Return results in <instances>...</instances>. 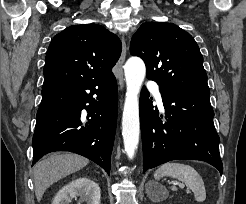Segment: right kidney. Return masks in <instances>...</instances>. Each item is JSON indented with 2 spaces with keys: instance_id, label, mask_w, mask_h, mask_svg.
Instances as JSON below:
<instances>
[{
  "instance_id": "obj_1",
  "label": "right kidney",
  "mask_w": 246,
  "mask_h": 204,
  "mask_svg": "<svg viewBox=\"0 0 246 204\" xmlns=\"http://www.w3.org/2000/svg\"><path fill=\"white\" fill-rule=\"evenodd\" d=\"M77 197H80L86 204H100V187L87 177L76 178L58 191L52 204H69Z\"/></svg>"
}]
</instances>
